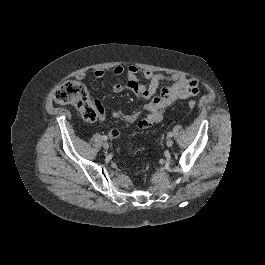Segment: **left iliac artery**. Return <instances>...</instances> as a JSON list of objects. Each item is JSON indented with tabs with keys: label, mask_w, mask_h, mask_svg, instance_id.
Masks as SVG:
<instances>
[{
	"label": "left iliac artery",
	"mask_w": 265,
	"mask_h": 265,
	"mask_svg": "<svg viewBox=\"0 0 265 265\" xmlns=\"http://www.w3.org/2000/svg\"><path fill=\"white\" fill-rule=\"evenodd\" d=\"M167 135H168V137H172L173 136V134L171 132H169Z\"/></svg>",
	"instance_id": "obj_1"
}]
</instances>
